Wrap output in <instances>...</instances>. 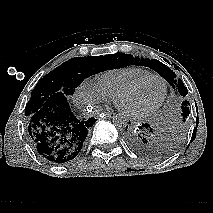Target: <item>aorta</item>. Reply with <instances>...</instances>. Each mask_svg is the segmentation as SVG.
Masks as SVG:
<instances>
[{
	"instance_id": "762f6f07",
	"label": "aorta",
	"mask_w": 213,
	"mask_h": 213,
	"mask_svg": "<svg viewBox=\"0 0 213 213\" xmlns=\"http://www.w3.org/2000/svg\"><path fill=\"white\" fill-rule=\"evenodd\" d=\"M113 124L117 129L125 130L128 125V120L124 115H115L113 117Z\"/></svg>"
}]
</instances>
